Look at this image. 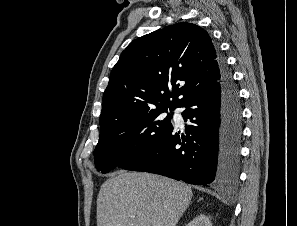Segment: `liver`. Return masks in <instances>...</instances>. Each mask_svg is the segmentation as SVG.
I'll list each match as a JSON object with an SVG mask.
<instances>
[{"label": "liver", "instance_id": "liver-1", "mask_svg": "<svg viewBox=\"0 0 297 226\" xmlns=\"http://www.w3.org/2000/svg\"><path fill=\"white\" fill-rule=\"evenodd\" d=\"M191 188L167 177L117 171L100 188L97 226H176Z\"/></svg>", "mask_w": 297, "mask_h": 226}]
</instances>
